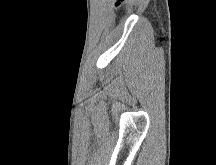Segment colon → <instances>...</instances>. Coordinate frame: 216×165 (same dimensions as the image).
Instances as JSON below:
<instances>
[{
    "instance_id": "obj_1",
    "label": "colon",
    "mask_w": 216,
    "mask_h": 165,
    "mask_svg": "<svg viewBox=\"0 0 216 165\" xmlns=\"http://www.w3.org/2000/svg\"><path fill=\"white\" fill-rule=\"evenodd\" d=\"M124 0H118L117 5L119 6Z\"/></svg>"
}]
</instances>
